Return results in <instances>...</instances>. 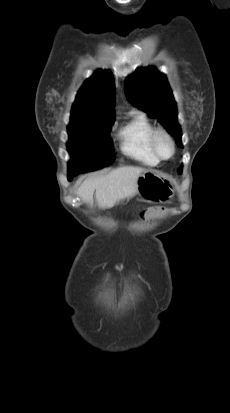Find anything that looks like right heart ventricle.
Segmentation results:
<instances>
[{
    "label": "right heart ventricle",
    "mask_w": 230,
    "mask_h": 413,
    "mask_svg": "<svg viewBox=\"0 0 230 413\" xmlns=\"http://www.w3.org/2000/svg\"><path fill=\"white\" fill-rule=\"evenodd\" d=\"M153 129V124L145 114L133 112L131 119L119 130L122 152L144 164L155 165L158 159L150 144Z\"/></svg>",
    "instance_id": "obj_1"
}]
</instances>
